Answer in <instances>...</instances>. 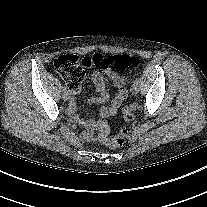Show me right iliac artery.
<instances>
[{
    "label": "right iliac artery",
    "instance_id": "82829eb1",
    "mask_svg": "<svg viewBox=\"0 0 207 207\" xmlns=\"http://www.w3.org/2000/svg\"><path fill=\"white\" fill-rule=\"evenodd\" d=\"M63 92H65L66 91V88L65 87H63V90H62Z\"/></svg>",
    "mask_w": 207,
    "mask_h": 207
}]
</instances>
